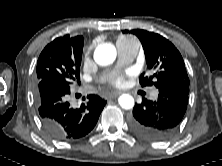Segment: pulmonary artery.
<instances>
[{
  "label": "pulmonary artery",
  "instance_id": "pulmonary-artery-1",
  "mask_svg": "<svg viewBox=\"0 0 222 166\" xmlns=\"http://www.w3.org/2000/svg\"><path fill=\"white\" fill-rule=\"evenodd\" d=\"M119 54V65H124L133 61L136 57L139 49L137 42H122L117 44ZM157 90L153 89L150 92V98L155 99L157 97Z\"/></svg>",
  "mask_w": 222,
  "mask_h": 166
}]
</instances>
